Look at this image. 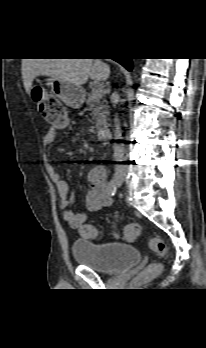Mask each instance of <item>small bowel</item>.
<instances>
[{
    "mask_svg": "<svg viewBox=\"0 0 206 348\" xmlns=\"http://www.w3.org/2000/svg\"><path fill=\"white\" fill-rule=\"evenodd\" d=\"M56 137V131L50 129L43 137L42 144L44 147H50ZM47 170L51 180L55 183L60 205L63 209V216L72 228H80L84 225L89 214L99 213L103 209L109 207L112 199L107 192V181L105 169L100 165L93 166L87 176L90 187L85 197L86 211L75 213L72 206L75 202V193H70L68 184L61 178L59 172L50 164Z\"/></svg>",
    "mask_w": 206,
    "mask_h": 348,
    "instance_id": "1",
    "label": "small bowel"
}]
</instances>
